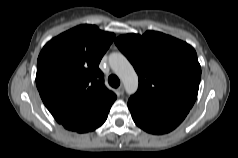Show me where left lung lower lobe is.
<instances>
[{
    "label": "left lung lower lobe",
    "mask_w": 238,
    "mask_h": 158,
    "mask_svg": "<svg viewBox=\"0 0 238 158\" xmlns=\"http://www.w3.org/2000/svg\"><path fill=\"white\" fill-rule=\"evenodd\" d=\"M128 108L136 125L152 134L172 131L184 120L190 110L186 107L149 110L131 100L128 101Z\"/></svg>",
    "instance_id": "obj_1"
}]
</instances>
